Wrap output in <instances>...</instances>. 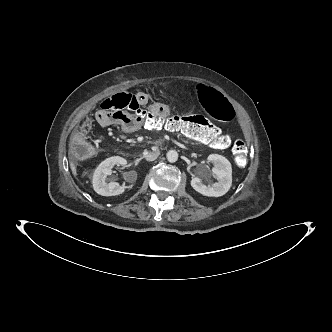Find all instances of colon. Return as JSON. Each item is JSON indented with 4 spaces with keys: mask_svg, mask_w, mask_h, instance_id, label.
Here are the masks:
<instances>
[{
    "mask_svg": "<svg viewBox=\"0 0 332 332\" xmlns=\"http://www.w3.org/2000/svg\"><path fill=\"white\" fill-rule=\"evenodd\" d=\"M190 92L200 113L210 118L214 124L226 127L235 122L238 115L237 107L219 88L200 81L192 85ZM101 109H110L113 113L117 110H129L136 113L141 117V126L151 133L159 130L181 132L196 141L211 144L218 149H225L230 145V137L221 133L205 117L179 116L169 113V116L163 119L144 111L138 106L137 96L131 93L122 92L108 97L102 102ZM91 124L90 119L81 122L72 140L71 149L78 158H86L91 154L88 137ZM232 150L236 164L244 166L247 161V147L244 141L237 139L233 143Z\"/></svg>",
    "mask_w": 332,
    "mask_h": 332,
    "instance_id": "obj_1",
    "label": "colon"
}]
</instances>
